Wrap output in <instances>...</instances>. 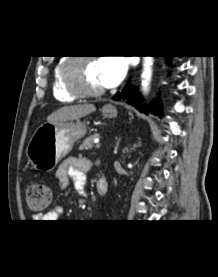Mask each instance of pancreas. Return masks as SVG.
Listing matches in <instances>:
<instances>
[{"label":"pancreas","mask_w":218,"mask_h":277,"mask_svg":"<svg viewBox=\"0 0 218 277\" xmlns=\"http://www.w3.org/2000/svg\"><path fill=\"white\" fill-rule=\"evenodd\" d=\"M98 135L97 134H94V135H91L89 136L88 138H86L82 145L79 147L80 150H90L93 148V141L95 140V138H97Z\"/></svg>","instance_id":"pancreas-1"}]
</instances>
